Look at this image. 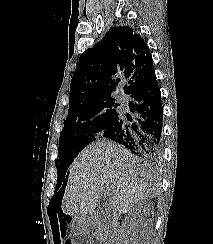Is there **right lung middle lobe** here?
Returning a JSON list of instances; mask_svg holds the SVG:
<instances>
[{
  "label": "right lung middle lobe",
  "instance_id": "right-lung-middle-lobe-1",
  "mask_svg": "<svg viewBox=\"0 0 213 244\" xmlns=\"http://www.w3.org/2000/svg\"><path fill=\"white\" fill-rule=\"evenodd\" d=\"M118 105L112 96H104L85 105L69 108L59 138L57 186L61 185L67 167L78 153L93 142L98 134L108 129L118 117Z\"/></svg>",
  "mask_w": 213,
  "mask_h": 244
}]
</instances>
